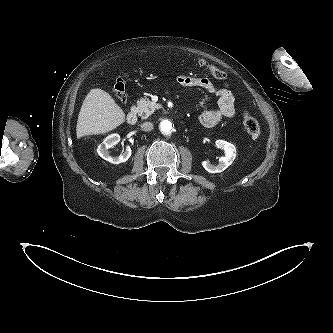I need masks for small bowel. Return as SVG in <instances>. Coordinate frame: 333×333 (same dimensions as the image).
I'll list each match as a JSON object with an SVG mask.
<instances>
[{
    "mask_svg": "<svg viewBox=\"0 0 333 333\" xmlns=\"http://www.w3.org/2000/svg\"><path fill=\"white\" fill-rule=\"evenodd\" d=\"M178 82L184 87L202 88L218 98L217 106L204 110L200 116V122L207 127H213L224 118H233L235 116L234 95L228 88H217L209 79L205 77H194L187 74H181Z\"/></svg>",
    "mask_w": 333,
    "mask_h": 333,
    "instance_id": "small-bowel-1",
    "label": "small bowel"
}]
</instances>
